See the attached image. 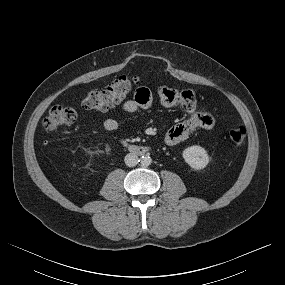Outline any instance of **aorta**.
<instances>
[{"instance_id": "1", "label": "aorta", "mask_w": 285, "mask_h": 285, "mask_svg": "<svg viewBox=\"0 0 285 285\" xmlns=\"http://www.w3.org/2000/svg\"><path fill=\"white\" fill-rule=\"evenodd\" d=\"M151 163H152V159L149 155H145L140 158V164L142 166H149Z\"/></svg>"}]
</instances>
